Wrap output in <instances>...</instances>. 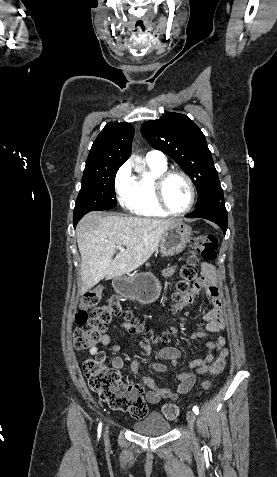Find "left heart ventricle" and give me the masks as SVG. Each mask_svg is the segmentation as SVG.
I'll return each mask as SVG.
<instances>
[{
    "mask_svg": "<svg viewBox=\"0 0 277 477\" xmlns=\"http://www.w3.org/2000/svg\"><path fill=\"white\" fill-rule=\"evenodd\" d=\"M165 198L172 210H184L190 200V190L186 180L178 175L169 178L165 185Z\"/></svg>",
    "mask_w": 277,
    "mask_h": 477,
    "instance_id": "1",
    "label": "left heart ventricle"
}]
</instances>
